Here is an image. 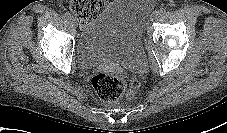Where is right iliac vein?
<instances>
[{"mask_svg": "<svg viewBox=\"0 0 227 133\" xmlns=\"http://www.w3.org/2000/svg\"><path fill=\"white\" fill-rule=\"evenodd\" d=\"M71 21L74 25H76V19L75 18H71Z\"/></svg>", "mask_w": 227, "mask_h": 133, "instance_id": "63e3f726", "label": "right iliac vein"}]
</instances>
